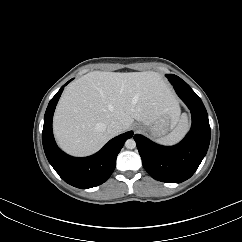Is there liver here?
<instances>
[{
  "mask_svg": "<svg viewBox=\"0 0 242 242\" xmlns=\"http://www.w3.org/2000/svg\"><path fill=\"white\" fill-rule=\"evenodd\" d=\"M179 114L178 102L159 73L93 71L65 89L53 129L63 150L85 156L113 137L107 131L111 123H119L124 132L134 120L150 126L163 115L178 119Z\"/></svg>",
  "mask_w": 242,
  "mask_h": 242,
  "instance_id": "liver-1",
  "label": "liver"
}]
</instances>
